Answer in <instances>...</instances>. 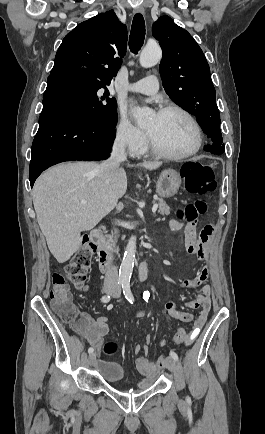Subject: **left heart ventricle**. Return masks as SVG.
I'll return each instance as SVG.
<instances>
[{
    "instance_id": "obj_1",
    "label": "left heart ventricle",
    "mask_w": 265,
    "mask_h": 434,
    "mask_svg": "<svg viewBox=\"0 0 265 434\" xmlns=\"http://www.w3.org/2000/svg\"><path fill=\"white\" fill-rule=\"evenodd\" d=\"M145 126L153 143L165 152L182 153L194 144L195 134L190 121L177 111L153 115Z\"/></svg>"
}]
</instances>
